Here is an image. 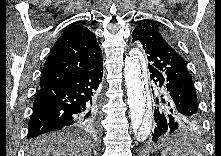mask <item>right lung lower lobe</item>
Returning <instances> with one entry per match:
<instances>
[{"label":"right lung lower lobe","mask_w":221,"mask_h":156,"mask_svg":"<svg viewBox=\"0 0 221 156\" xmlns=\"http://www.w3.org/2000/svg\"><path fill=\"white\" fill-rule=\"evenodd\" d=\"M103 64L58 85L40 88L33 105L27 138L73 127H94L101 99Z\"/></svg>","instance_id":"right-lung-lower-lobe-1"}]
</instances>
